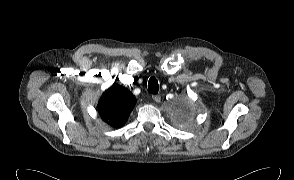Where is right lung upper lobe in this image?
Listing matches in <instances>:
<instances>
[{
	"instance_id": "1",
	"label": "right lung upper lobe",
	"mask_w": 294,
	"mask_h": 180,
	"mask_svg": "<svg viewBox=\"0 0 294 180\" xmlns=\"http://www.w3.org/2000/svg\"><path fill=\"white\" fill-rule=\"evenodd\" d=\"M135 103L136 98L129 90L113 85L100 99L98 111L103 121L119 127L127 121Z\"/></svg>"
}]
</instances>
